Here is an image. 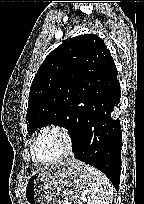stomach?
Here are the masks:
<instances>
[{
    "label": "stomach",
    "instance_id": "obj_1",
    "mask_svg": "<svg viewBox=\"0 0 144 204\" xmlns=\"http://www.w3.org/2000/svg\"><path fill=\"white\" fill-rule=\"evenodd\" d=\"M87 165L71 160L44 168L26 180L25 204H67L87 185Z\"/></svg>",
    "mask_w": 144,
    "mask_h": 204
}]
</instances>
